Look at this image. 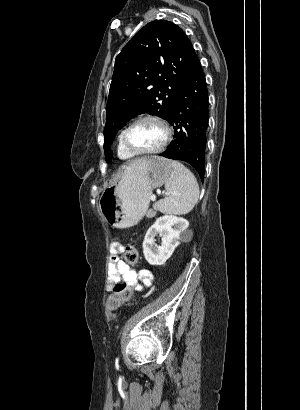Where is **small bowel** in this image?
Instances as JSON below:
<instances>
[{
    "mask_svg": "<svg viewBox=\"0 0 300 410\" xmlns=\"http://www.w3.org/2000/svg\"><path fill=\"white\" fill-rule=\"evenodd\" d=\"M122 250L123 245L121 243L116 242L111 246L107 286L111 287L113 283L123 280L137 292L150 287L152 284L151 272L147 269H132L129 264L120 259Z\"/></svg>",
    "mask_w": 300,
    "mask_h": 410,
    "instance_id": "1",
    "label": "small bowel"
}]
</instances>
